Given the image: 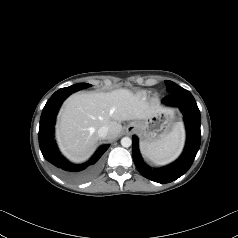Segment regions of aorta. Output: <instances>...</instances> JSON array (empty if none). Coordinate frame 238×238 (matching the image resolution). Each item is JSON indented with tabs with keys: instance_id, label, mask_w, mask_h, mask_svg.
<instances>
[{
	"instance_id": "aorta-1",
	"label": "aorta",
	"mask_w": 238,
	"mask_h": 238,
	"mask_svg": "<svg viewBox=\"0 0 238 238\" xmlns=\"http://www.w3.org/2000/svg\"><path fill=\"white\" fill-rule=\"evenodd\" d=\"M121 145H122L123 147H126V148L130 147V146L132 145V140H131V138H129V137H123V138L121 139Z\"/></svg>"
}]
</instances>
